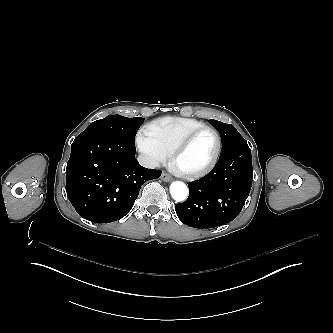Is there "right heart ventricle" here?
Masks as SVG:
<instances>
[{
  "mask_svg": "<svg viewBox=\"0 0 333 333\" xmlns=\"http://www.w3.org/2000/svg\"><path fill=\"white\" fill-rule=\"evenodd\" d=\"M202 126H205L204 122L193 118L166 117L145 124L138 134V141L167 156L185 134Z\"/></svg>",
  "mask_w": 333,
  "mask_h": 333,
  "instance_id": "e07e8e85",
  "label": "right heart ventricle"
}]
</instances>
